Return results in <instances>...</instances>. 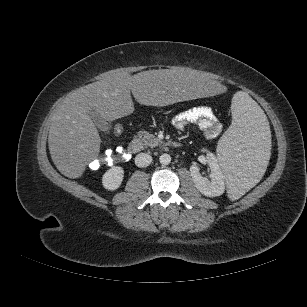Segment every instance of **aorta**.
<instances>
[{"mask_svg": "<svg viewBox=\"0 0 307 307\" xmlns=\"http://www.w3.org/2000/svg\"><path fill=\"white\" fill-rule=\"evenodd\" d=\"M159 161L162 165H168L171 162V156L167 153H164L160 156Z\"/></svg>", "mask_w": 307, "mask_h": 307, "instance_id": "obj_1", "label": "aorta"}]
</instances>
